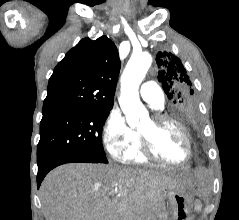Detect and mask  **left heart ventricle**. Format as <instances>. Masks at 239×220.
I'll return each mask as SVG.
<instances>
[{
	"instance_id": "b2bd125f",
	"label": "left heart ventricle",
	"mask_w": 239,
	"mask_h": 220,
	"mask_svg": "<svg viewBox=\"0 0 239 220\" xmlns=\"http://www.w3.org/2000/svg\"><path fill=\"white\" fill-rule=\"evenodd\" d=\"M139 131L149 137L156 152L170 161H181L186 156V143L178 127L172 124L155 126L151 118H147Z\"/></svg>"
}]
</instances>
